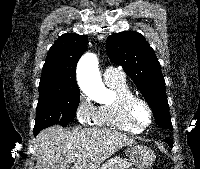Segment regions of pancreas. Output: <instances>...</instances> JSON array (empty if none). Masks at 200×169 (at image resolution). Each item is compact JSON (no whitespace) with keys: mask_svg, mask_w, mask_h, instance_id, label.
Returning <instances> with one entry per match:
<instances>
[{"mask_svg":"<svg viewBox=\"0 0 200 169\" xmlns=\"http://www.w3.org/2000/svg\"><path fill=\"white\" fill-rule=\"evenodd\" d=\"M131 164L121 158H112L104 163L99 169H129Z\"/></svg>","mask_w":200,"mask_h":169,"instance_id":"cf45deb5","label":"pancreas"}]
</instances>
